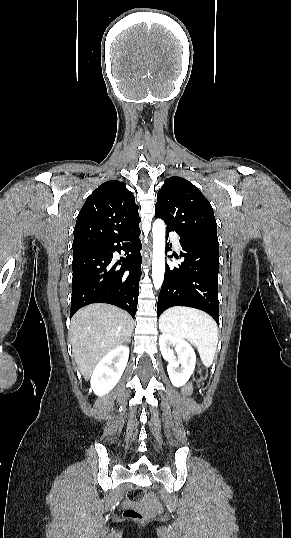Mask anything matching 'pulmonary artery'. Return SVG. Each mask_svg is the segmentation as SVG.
<instances>
[{
	"label": "pulmonary artery",
	"instance_id": "pulmonary-artery-1",
	"mask_svg": "<svg viewBox=\"0 0 291 538\" xmlns=\"http://www.w3.org/2000/svg\"><path fill=\"white\" fill-rule=\"evenodd\" d=\"M170 237H171V240L173 242V245L174 247L177 249V250H180L181 249V245H180V238H179V235L175 232H171L170 233Z\"/></svg>",
	"mask_w": 291,
	"mask_h": 538
}]
</instances>
